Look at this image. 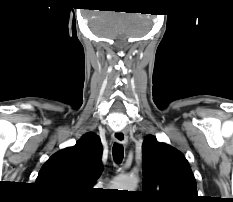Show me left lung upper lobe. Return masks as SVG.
<instances>
[{
	"label": "left lung upper lobe",
	"mask_w": 233,
	"mask_h": 202,
	"mask_svg": "<svg viewBox=\"0 0 233 202\" xmlns=\"http://www.w3.org/2000/svg\"><path fill=\"white\" fill-rule=\"evenodd\" d=\"M143 197L147 202H197V187L181 152L153 136L142 145Z\"/></svg>",
	"instance_id": "obj_1"
}]
</instances>
